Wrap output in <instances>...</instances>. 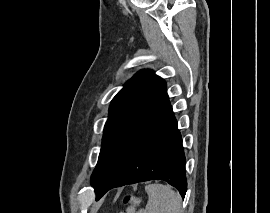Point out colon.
<instances>
[{"label":"colon","mask_w":270,"mask_h":213,"mask_svg":"<svg viewBox=\"0 0 270 213\" xmlns=\"http://www.w3.org/2000/svg\"><path fill=\"white\" fill-rule=\"evenodd\" d=\"M125 203L126 204H133V205H135V204L138 203V199H136V198H134V197H132V196L129 195V196L126 197Z\"/></svg>","instance_id":"colon-1"}]
</instances>
